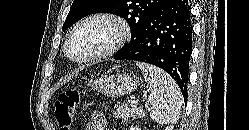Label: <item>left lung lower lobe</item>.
Instances as JSON below:
<instances>
[{"label": "left lung lower lobe", "mask_w": 249, "mask_h": 130, "mask_svg": "<svg viewBox=\"0 0 249 130\" xmlns=\"http://www.w3.org/2000/svg\"><path fill=\"white\" fill-rule=\"evenodd\" d=\"M192 31L188 1L167 0L114 59L141 61L162 68L177 82L187 102Z\"/></svg>", "instance_id": "1"}]
</instances>
